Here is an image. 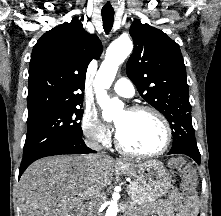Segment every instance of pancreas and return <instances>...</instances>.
I'll return each instance as SVG.
<instances>
[{"mask_svg": "<svg viewBox=\"0 0 221 216\" xmlns=\"http://www.w3.org/2000/svg\"><path fill=\"white\" fill-rule=\"evenodd\" d=\"M132 188L128 189V194L131 200L138 205H150L154 203L156 197L147 192L142 186L137 183H133Z\"/></svg>", "mask_w": 221, "mask_h": 216, "instance_id": "cf45deb5", "label": "pancreas"}]
</instances>
